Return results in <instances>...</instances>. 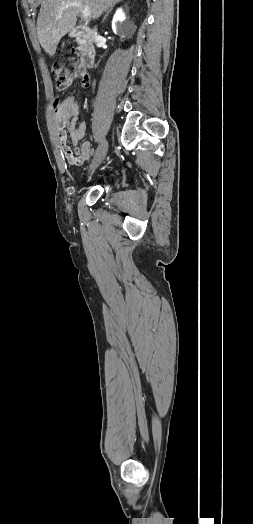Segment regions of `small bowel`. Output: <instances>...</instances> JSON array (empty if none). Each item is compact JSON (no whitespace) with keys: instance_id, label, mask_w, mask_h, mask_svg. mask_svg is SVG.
<instances>
[{"instance_id":"obj_1","label":"small bowel","mask_w":253,"mask_h":524,"mask_svg":"<svg viewBox=\"0 0 253 524\" xmlns=\"http://www.w3.org/2000/svg\"><path fill=\"white\" fill-rule=\"evenodd\" d=\"M79 114V105L72 96L57 102L53 111L60 148L65 160L73 166H81L88 161L89 149L91 148L88 142L79 145L86 134V124L79 121ZM68 136L75 147L74 149L66 144Z\"/></svg>"}]
</instances>
